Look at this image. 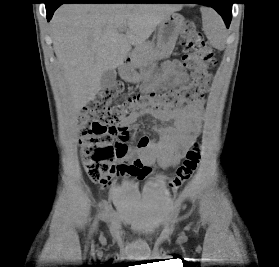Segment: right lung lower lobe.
I'll use <instances>...</instances> for the list:
<instances>
[{
    "instance_id": "1",
    "label": "right lung lower lobe",
    "mask_w": 279,
    "mask_h": 267,
    "mask_svg": "<svg viewBox=\"0 0 279 267\" xmlns=\"http://www.w3.org/2000/svg\"><path fill=\"white\" fill-rule=\"evenodd\" d=\"M157 0H47V19L50 21L55 10L63 3H154Z\"/></svg>"
}]
</instances>
